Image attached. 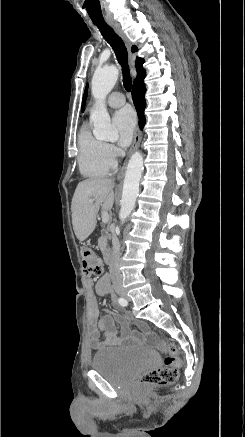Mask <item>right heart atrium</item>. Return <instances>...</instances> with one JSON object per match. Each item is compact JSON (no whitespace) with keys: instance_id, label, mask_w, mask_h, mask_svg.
<instances>
[{"instance_id":"1","label":"right heart atrium","mask_w":245,"mask_h":437,"mask_svg":"<svg viewBox=\"0 0 245 437\" xmlns=\"http://www.w3.org/2000/svg\"><path fill=\"white\" fill-rule=\"evenodd\" d=\"M105 154H106V158L109 161V163L111 165L115 166V164L117 162V158L119 156L118 149L112 144H106L105 145Z\"/></svg>"}]
</instances>
